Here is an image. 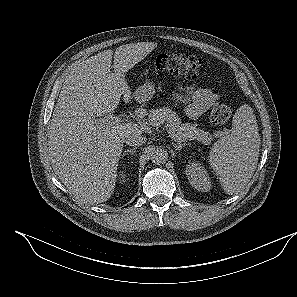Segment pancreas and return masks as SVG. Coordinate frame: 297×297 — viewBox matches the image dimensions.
Masks as SVG:
<instances>
[{
    "label": "pancreas",
    "instance_id": "cf45deb5",
    "mask_svg": "<svg viewBox=\"0 0 297 297\" xmlns=\"http://www.w3.org/2000/svg\"><path fill=\"white\" fill-rule=\"evenodd\" d=\"M149 121L152 125L167 123L182 141L198 140L204 144L211 143L212 135L209 132L197 128V124H183L176 112L168 107L152 109L149 112Z\"/></svg>",
    "mask_w": 297,
    "mask_h": 297
}]
</instances>
